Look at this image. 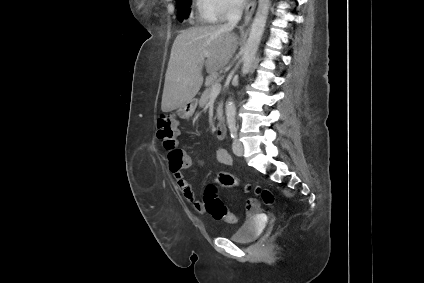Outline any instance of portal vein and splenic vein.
<instances>
[{
    "label": "portal vein and splenic vein",
    "instance_id": "obj_1",
    "mask_svg": "<svg viewBox=\"0 0 424 283\" xmlns=\"http://www.w3.org/2000/svg\"><path fill=\"white\" fill-rule=\"evenodd\" d=\"M205 55L207 56L208 53H205ZM220 91H221V83L218 81L212 85L211 96L218 95Z\"/></svg>",
    "mask_w": 424,
    "mask_h": 283
}]
</instances>
